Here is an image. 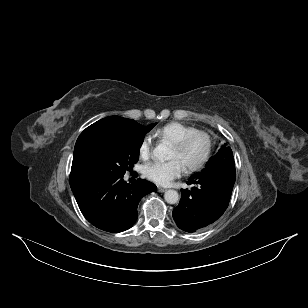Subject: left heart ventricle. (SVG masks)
Listing matches in <instances>:
<instances>
[{
  "label": "left heart ventricle",
  "mask_w": 308,
  "mask_h": 308,
  "mask_svg": "<svg viewBox=\"0 0 308 308\" xmlns=\"http://www.w3.org/2000/svg\"><path fill=\"white\" fill-rule=\"evenodd\" d=\"M206 148V141L203 137L195 138L189 146L183 150L178 151L174 147L171 148L169 159H179L185 167L196 163L204 154Z\"/></svg>",
  "instance_id": "1"
}]
</instances>
